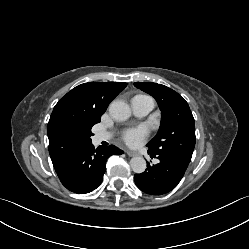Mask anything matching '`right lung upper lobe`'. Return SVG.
Instances as JSON below:
<instances>
[{
	"instance_id": "obj_1",
	"label": "right lung upper lobe",
	"mask_w": 249,
	"mask_h": 249,
	"mask_svg": "<svg viewBox=\"0 0 249 249\" xmlns=\"http://www.w3.org/2000/svg\"><path fill=\"white\" fill-rule=\"evenodd\" d=\"M126 86L124 82L84 83L58 101L47 128L55 170L88 144L92 126L100 122L109 103Z\"/></svg>"
}]
</instances>
